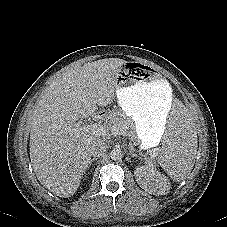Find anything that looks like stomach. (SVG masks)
Instances as JSON below:
<instances>
[{
    "label": "stomach",
    "mask_w": 227,
    "mask_h": 227,
    "mask_svg": "<svg viewBox=\"0 0 227 227\" xmlns=\"http://www.w3.org/2000/svg\"><path fill=\"white\" fill-rule=\"evenodd\" d=\"M120 109L134 122L138 143L155 146L166 132L172 89L160 73L143 63H125L116 77Z\"/></svg>",
    "instance_id": "0dacf381"
}]
</instances>
